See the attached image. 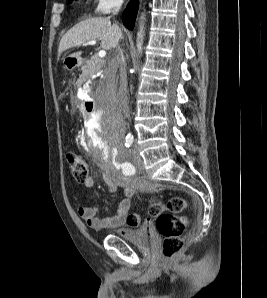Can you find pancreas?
Wrapping results in <instances>:
<instances>
[{"label": "pancreas", "instance_id": "1", "mask_svg": "<svg viewBox=\"0 0 267 298\" xmlns=\"http://www.w3.org/2000/svg\"><path fill=\"white\" fill-rule=\"evenodd\" d=\"M104 65V61L98 57H93L91 60L87 61L86 65L82 68V74L80 78L86 81L91 78V76L99 71Z\"/></svg>", "mask_w": 267, "mask_h": 298}]
</instances>
